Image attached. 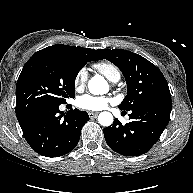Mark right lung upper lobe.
<instances>
[{
    "mask_svg": "<svg viewBox=\"0 0 193 193\" xmlns=\"http://www.w3.org/2000/svg\"><path fill=\"white\" fill-rule=\"evenodd\" d=\"M38 55H64L69 57H74L82 60H101L103 59L99 54V51L89 48L68 46L63 44H56L47 48H44L36 53L33 56Z\"/></svg>",
    "mask_w": 193,
    "mask_h": 193,
    "instance_id": "cb5924a9",
    "label": "right lung upper lobe"
}]
</instances>
